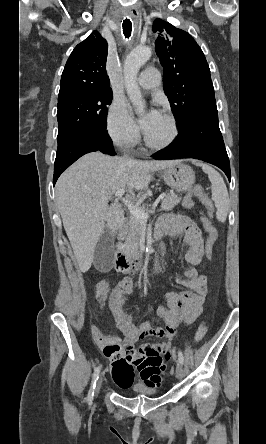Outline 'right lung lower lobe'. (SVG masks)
Segmentation results:
<instances>
[{
    "label": "right lung lower lobe",
    "instance_id": "obj_1",
    "mask_svg": "<svg viewBox=\"0 0 266 444\" xmlns=\"http://www.w3.org/2000/svg\"><path fill=\"white\" fill-rule=\"evenodd\" d=\"M100 151L115 155L112 141L107 131H94L77 137L63 149L57 151L54 164L53 185L61 173L84 154Z\"/></svg>",
    "mask_w": 266,
    "mask_h": 444
}]
</instances>
